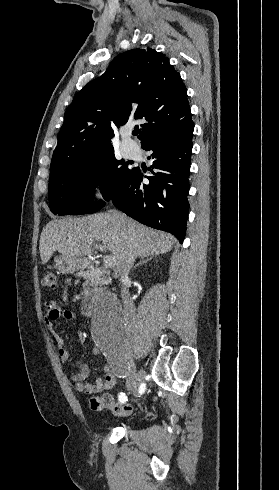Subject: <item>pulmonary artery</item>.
I'll return each mask as SVG.
<instances>
[{"label":"pulmonary artery","instance_id":"1","mask_svg":"<svg viewBox=\"0 0 279 490\" xmlns=\"http://www.w3.org/2000/svg\"><path fill=\"white\" fill-rule=\"evenodd\" d=\"M123 134L124 135H128L129 134V131L128 130H124L123 131ZM137 149H138V147H137L136 144H131V145L124 146L123 147V154L127 158H133L137 154Z\"/></svg>","mask_w":279,"mask_h":490}]
</instances>
